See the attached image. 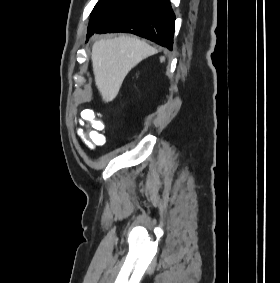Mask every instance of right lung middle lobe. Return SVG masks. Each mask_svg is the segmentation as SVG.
Returning <instances> with one entry per match:
<instances>
[{
  "label": "right lung middle lobe",
  "instance_id": "obj_1",
  "mask_svg": "<svg viewBox=\"0 0 280 283\" xmlns=\"http://www.w3.org/2000/svg\"><path fill=\"white\" fill-rule=\"evenodd\" d=\"M139 0H99L95 5L88 27V34L95 32L110 17Z\"/></svg>",
  "mask_w": 280,
  "mask_h": 283
}]
</instances>
